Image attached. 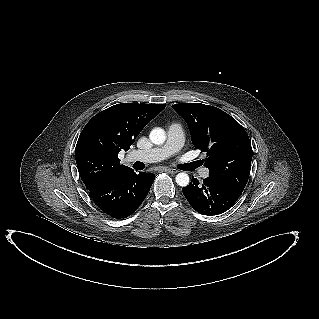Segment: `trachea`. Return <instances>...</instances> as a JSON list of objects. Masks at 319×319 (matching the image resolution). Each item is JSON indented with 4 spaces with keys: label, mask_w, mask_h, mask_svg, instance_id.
Instances as JSON below:
<instances>
[{
    "label": "trachea",
    "mask_w": 319,
    "mask_h": 319,
    "mask_svg": "<svg viewBox=\"0 0 319 319\" xmlns=\"http://www.w3.org/2000/svg\"><path fill=\"white\" fill-rule=\"evenodd\" d=\"M198 166H199L198 162H192V163L185 164V167H187L188 169H194V168H196Z\"/></svg>",
    "instance_id": "3493384b"
}]
</instances>
